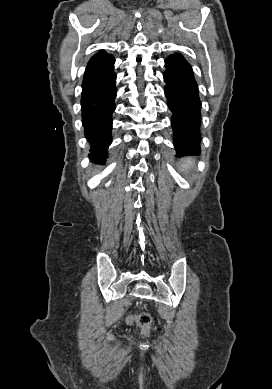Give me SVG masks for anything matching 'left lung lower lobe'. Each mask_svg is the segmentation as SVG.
Instances as JSON below:
<instances>
[{"mask_svg": "<svg viewBox=\"0 0 272 389\" xmlns=\"http://www.w3.org/2000/svg\"><path fill=\"white\" fill-rule=\"evenodd\" d=\"M164 91L173 113L171 124L177 154L198 155L200 150L201 102L191 65L177 53L165 60Z\"/></svg>", "mask_w": 272, "mask_h": 389, "instance_id": "0a47b994", "label": "left lung lower lobe"}]
</instances>
